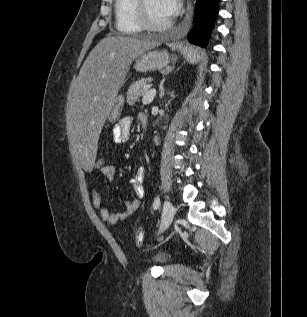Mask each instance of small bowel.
Here are the masks:
<instances>
[{"label":"small bowel","mask_w":307,"mask_h":317,"mask_svg":"<svg viewBox=\"0 0 307 317\" xmlns=\"http://www.w3.org/2000/svg\"><path fill=\"white\" fill-rule=\"evenodd\" d=\"M143 114L139 115V119ZM130 128H131V118L124 117L118 124L113 128L112 135L113 140L118 146H123L127 144L130 140ZM102 175L109 181L113 180L116 174L115 167L112 165H105L101 169ZM146 176V169L144 167H139L131 180V186L135 194V198L131 200H126L124 202V211L121 213H114L103 206L102 198L94 184H92V203L93 206L99 211L100 217L103 221L109 224H117L131 214H133L140 206V200L144 197V180Z\"/></svg>","instance_id":"1"}]
</instances>
